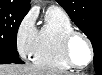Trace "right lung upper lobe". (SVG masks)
I'll list each match as a JSON object with an SVG mask.
<instances>
[{"instance_id": "obj_1", "label": "right lung upper lobe", "mask_w": 102, "mask_h": 75, "mask_svg": "<svg viewBox=\"0 0 102 75\" xmlns=\"http://www.w3.org/2000/svg\"><path fill=\"white\" fill-rule=\"evenodd\" d=\"M0 8L28 12L30 9V0H0Z\"/></svg>"}]
</instances>
